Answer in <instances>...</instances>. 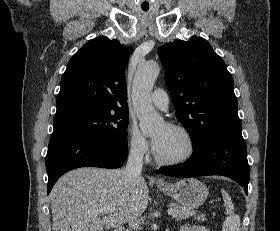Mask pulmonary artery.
Masks as SVG:
<instances>
[{
	"label": "pulmonary artery",
	"mask_w": 280,
	"mask_h": 231,
	"mask_svg": "<svg viewBox=\"0 0 280 231\" xmlns=\"http://www.w3.org/2000/svg\"><path fill=\"white\" fill-rule=\"evenodd\" d=\"M151 102L157 108L164 111L167 110L169 106L168 93L162 88H158L154 90V92L151 95Z\"/></svg>",
	"instance_id": "1"
}]
</instances>
